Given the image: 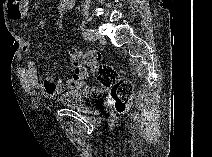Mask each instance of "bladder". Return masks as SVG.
<instances>
[{
    "label": "bladder",
    "instance_id": "obj_1",
    "mask_svg": "<svg viewBox=\"0 0 212 157\" xmlns=\"http://www.w3.org/2000/svg\"><path fill=\"white\" fill-rule=\"evenodd\" d=\"M103 96L102 88L86 86L76 91L67 92L59 100V104L88 114H95L96 107L100 104Z\"/></svg>",
    "mask_w": 212,
    "mask_h": 157
}]
</instances>
